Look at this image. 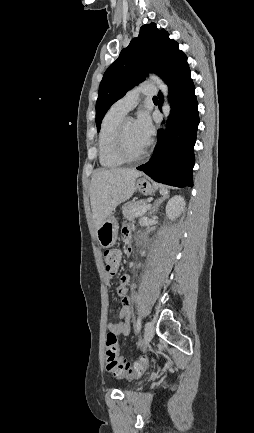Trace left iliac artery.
Masks as SVG:
<instances>
[{"label":"left iliac artery","instance_id":"44dca946","mask_svg":"<svg viewBox=\"0 0 254 433\" xmlns=\"http://www.w3.org/2000/svg\"><path fill=\"white\" fill-rule=\"evenodd\" d=\"M136 332L139 333L140 329H141V320L138 318L137 322H136Z\"/></svg>","mask_w":254,"mask_h":433}]
</instances>
